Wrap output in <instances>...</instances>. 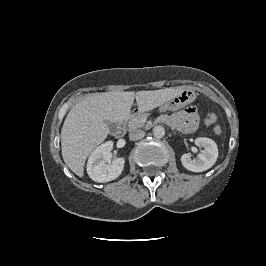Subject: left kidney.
Listing matches in <instances>:
<instances>
[{"instance_id":"5707ae66","label":"left kidney","mask_w":266,"mask_h":266,"mask_svg":"<svg viewBox=\"0 0 266 266\" xmlns=\"http://www.w3.org/2000/svg\"><path fill=\"white\" fill-rule=\"evenodd\" d=\"M198 147L204 148L196 159H192L189 153L181 156L182 165L192 172H203L211 168L218 158L217 144L210 138L199 137L195 139Z\"/></svg>"}]
</instances>
